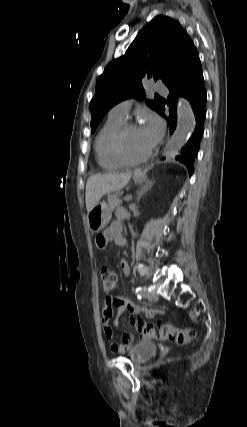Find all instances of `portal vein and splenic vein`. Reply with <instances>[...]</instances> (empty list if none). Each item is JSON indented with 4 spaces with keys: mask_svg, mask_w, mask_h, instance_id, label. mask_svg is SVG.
<instances>
[{
    "mask_svg": "<svg viewBox=\"0 0 247 427\" xmlns=\"http://www.w3.org/2000/svg\"><path fill=\"white\" fill-rule=\"evenodd\" d=\"M123 199L125 201H131L132 200V196L131 195H126Z\"/></svg>",
    "mask_w": 247,
    "mask_h": 427,
    "instance_id": "18ae733b",
    "label": "portal vein and splenic vein"
}]
</instances>
